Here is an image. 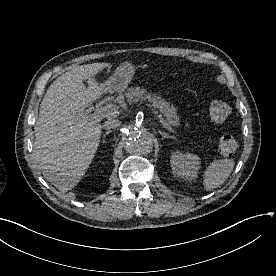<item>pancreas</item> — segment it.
<instances>
[{
  "instance_id": "pancreas-1",
  "label": "pancreas",
  "mask_w": 276,
  "mask_h": 276,
  "mask_svg": "<svg viewBox=\"0 0 276 276\" xmlns=\"http://www.w3.org/2000/svg\"><path fill=\"white\" fill-rule=\"evenodd\" d=\"M125 97L129 104L148 101L154 108L158 109V111L164 115L169 125L177 127L180 124L179 117L176 114V109L173 106H170V104L160 96L148 92L144 88H130L125 93Z\"/></svg>"
}]
</instances>
